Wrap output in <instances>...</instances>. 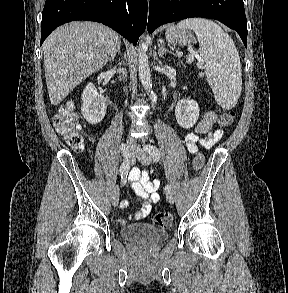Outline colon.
I'll list each match as a JSON object with an SVG mask.
<instances>
[{"mask_svg": "<svg viewBox=\"0 0 288 293\" xmlns=\"http://www.w3.org/2000/svg\"><path fill=\"white\" fill-rule=\"evenodd\" d=\"M235 115L232 110L221 113L218 124L221 127L230 126L234 122ZM54 126L70 147L75 150H81L84 147V137L72 106L66 105L58 111L54 117ZM204 163V155L202 153L196 154L192 160L193 169L196 171L202 169ZM172 221V215L168 212L157 213L154 217L155 224L162 228L170 227Z\"/></svg>", "mask_w": 288, "mask_h": 293, "instance_id": "5ec220e1", "label": "colon"}]
</instances>
